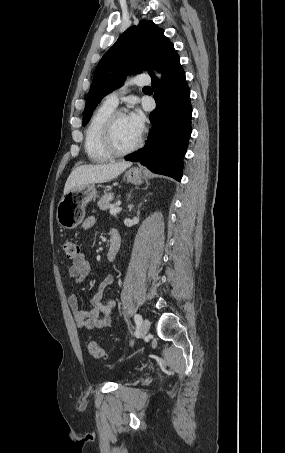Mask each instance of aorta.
<instances>
[{
  "label": "aorta",
  "instance_id": "obj_1",
  "mask_svg": "<svg viewBox=\"0 0 285 453\" xmlns=\"http://www.w3.org/2000/svg\"><path fill=\"white\" fill-rule=\"evenodd\" d=\"M154 72H155V74L158 76V78H161V75H160V74H158L156 71H154Z\"/></svg>",
  "mask_w": 285,
  "mask_h": 453
}]
</instances>
